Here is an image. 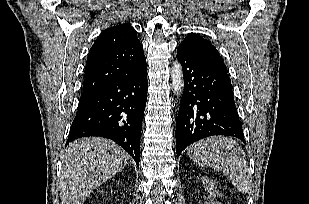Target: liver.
<instances>
[{"instance_id":"1","label":"liver","mask_w":309,"mask_h":204,"mask_svg":"<svg viewBox=\"0 0 309 204\" xmlns=\"http://www.w3.org/2000/svg\"><path fill=\"white\" fill-rule=\"evenodd\" d=\"M129 163L116 143L100 137L77 139L62 155L59 178L62 204H84L89 194Z\"/></svg>"}]
</instances>
